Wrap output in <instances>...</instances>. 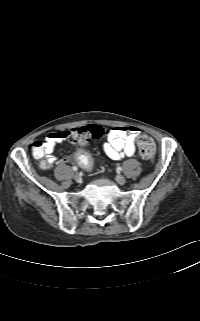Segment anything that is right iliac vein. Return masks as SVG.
<instances>
[{"mask_svg": "<svg viewBox=\"0 0 200 321\" xmlns=\"http://www.w3.org/2000/svg\"><path fill=\"white\" fill-rule=\"evenodd\" d=\"M74 179H75L76 182H81L82 181V178L78 173L74 174Z\"/></svg>", "mask_w": 200, "mask_h": 321, "instance_id": "obj_1", "label": "right iliac vein"}]
</instances>
